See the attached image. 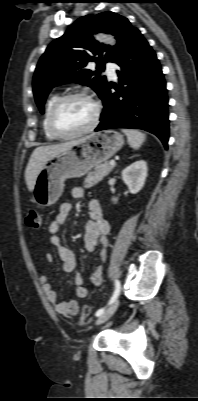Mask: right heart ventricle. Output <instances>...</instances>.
Returning a JSON list of instances; mask_svg holds the SVG:
<instances>
[{
	"instance_id": "right-heart-ventricle-1",
	"label": "right heart ventricle",
	"mask_w": 198,
	"mask_h": 401,
	"mask_svg": "<svg viewBox=\"0 0 198 401\" xmlns=\"http://www.w3.org/2000/svg\"><path fill=\"white\" fill-rule=\"evenodd\" d=\"M58 97H59V96H58L57 94H53V95H51V96L49 97V99L47 100L46 105H45L44 116H43V119H42V129H43V133H44L46 139H47V140H50V141H51V140H55L56 138L53 137V136L51 135V133L49 132V130H48V127H47V116H48V112H49V110H50L52 104L56 101V99H57Z\"/></svg>"
}]
</instances>
